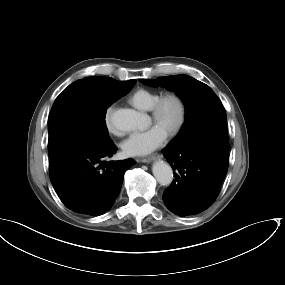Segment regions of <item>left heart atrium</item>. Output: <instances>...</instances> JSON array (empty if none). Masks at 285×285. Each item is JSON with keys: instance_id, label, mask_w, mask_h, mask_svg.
<instances>
[{"instance_id": "left-heart-atrium-1", "label": "left heart atrium", "mask_w": 285, "mask_h": 285, "mask_svg": "<svg viewBox=\"0 0 285 285\" xmlns=\"http://www.w3.org/2000/svg\"><path fill=\"white\" fill-rule=\"evenodd\" d=\"M166 137V131L160 125L153 124L147 130L131 133L122 148L127 156H144L160 147Z\"/></svg>"}]
</instances>
